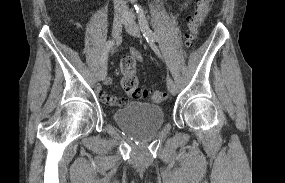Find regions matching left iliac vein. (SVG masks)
I'll return each mask as SVG.
<instances>
[{
	"instance_id": "4c4485c4",
	"label": "left iliac vein",
	"mask_w": 285,
	"mask_h": 183,
	"mask_svg": "<svg viewBox=\"0 0 285 183\" xmlns=\"http://www.w3.org/2000/svg\"><path fill=\"white\" fill-rule=\"evenodd\" d=\"M125 30L134 37H141L139 27L132 19L126 21ZM167 86L171 94L175 95L177 93L176 84L170 77L167 79Z\"/></svg>"
}]
</instances>
